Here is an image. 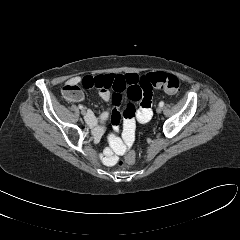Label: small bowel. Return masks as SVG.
Returning <instances> with one entry per match:
<instances>
[{
	"label": "small bowel",
	"mask_w": 240,
	"mask_h": 240,
	"mask_svg": "<svg viewBox=\"0 0 240 240\" xmlns=\"http://www.w3.org/2000/svg\"><path fill=\"white\" fill-rule=\"evenodd\" d=\"M86 88H97L100 97L107 102H112L115 109L109 113L103 112L99 117H96L92 112L87 113L86 122L93 129V133L96 139H99L104 133V123L110 117L113 123L114 131L119 130V124L121 120V114L117 109L122 101L123 94L128 95V90L131 87H135L139 93V109L137 110L134 119L125 120L124 128L126 133H131L134 129L135 119L139 123H147L152 117V86L149 84L146 76H139L136 73L128 74H105L96 76H74L70 78L67 84H79ZM83 99L82 94L73 99H69L72 102H79ZM115 150L117 153L122 154L125 152V148L120 143L116 142Z\"/></svg>",
	"instance_id": "obj_1"
}]
</instances>
